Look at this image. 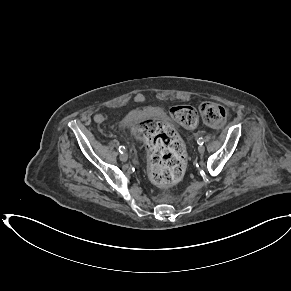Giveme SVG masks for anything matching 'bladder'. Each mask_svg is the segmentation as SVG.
Instances as JSON below:
<instances>
[{"label": "bladder", "mask_w": 291, "mask_h": 291, "mask_svg": "<svg viewBox=\"0 0 291 291\" xmlns=\"http://www.w3.org/2000/svg\"><path fill=\"white\" fill-rule=\"evenodd\" d=\"M134 118H135L134 116H131L126 120L124 124L126 130L133 131L135 129L136 125L134 123Z\"/></svg>", "instance_id": "31cf9c89"}]
</instances>
